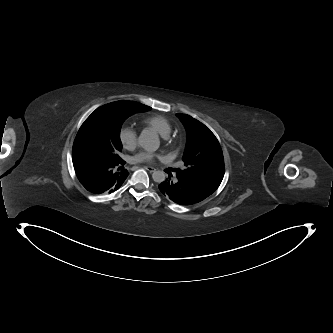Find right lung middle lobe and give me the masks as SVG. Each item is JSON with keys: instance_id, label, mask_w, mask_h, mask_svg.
<instances>
[{"instance_id": "right-lung-middle-lobe-1", "label": "right lung middle lobe", "mask_w": 333, "mask_h": 333, "mask_svg": "<svg viewBox=\"0 0 333 333\" xmlns=\"http://www.w3.org/2000/svg\"><path fill=\"white\" fill-rule=\"evenodd\" d=\"M138 110L128 102H112L96 109L82 124L74 141L72 156L100 162L121 160L120 129Z\"/></svg>"}]
</instances>
